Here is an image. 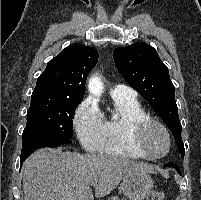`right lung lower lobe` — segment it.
<instances>
[{
    "mask_svg": "<svg viewBox=\"0 0 201 200\" xmlns=\"http://www.w3.org/2000/svg\"><path fill=\"white\" fill-rule=\"evenodd\" d=\"M71 143L70 139H62L56 137H49L46 135H30L22 137V151L20 157V167L22 163L35 150L43 147H57L59 145Z\"/></svg>",
    "mask_w": 201,
    "mask_h": 200,
    "instance_id": "98d812e1",
    "label": "right lung lower lobe"
}]
</instances>
